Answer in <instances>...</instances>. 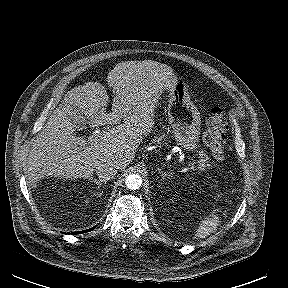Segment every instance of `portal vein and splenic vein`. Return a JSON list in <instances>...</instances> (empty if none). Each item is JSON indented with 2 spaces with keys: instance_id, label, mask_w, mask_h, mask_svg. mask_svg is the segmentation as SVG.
Masks as SVG:
<instances>
[{
  "instance_id": "18ae733b",
  "label": "portal vein and splenic vein",
  "mask_w": 288,
  "mask_h": 288,
  "mask_svg": "<svg viewBox=\"0 0 288 288\" xmlns=\"http://www.w3.org/2000/svg\"><path fill=\"white\" fill-rule=\"evenodd\" d=\"M99 137V134H93L92 136H90L88 138V141L92 142V141H96ZM188 166L192 169V170H198L197 167L195 165H193L192 163H188Z\"/></svg>"
}]
</instances>
